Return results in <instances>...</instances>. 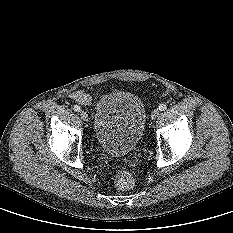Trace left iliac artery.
Masks as SVG:
<instances>
[{"mask_svg":"<svg viewBox=\"0 0 233 233\" xmlns=\"http://www.w3.org/2000/svg\"><path fill=\"white\" fill-rule=\"evenodd\" d=\"M167 108L166 104H160L159 105V110L164 111Z\"/></svg>","mask_w":233,"mask_h":233,"instance_id":"1","label":"left iliac artery"}]
</instances>
